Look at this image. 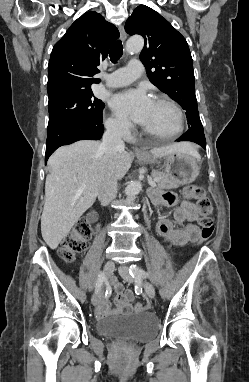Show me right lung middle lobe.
Listing matches in <instances>:
<instances>
[{"mask_svg":"<svg viewBox=\"0 0 249 382\" xmlns=\"http://www.w3.org/2000/svg\"><path fill=\"white\" fill-rule=\"evenodd\" d=\"M104 106L101 100L94 97L92 91L51 102L48 105V130L76 121H98L102 118Z\"/></svg>","mask_w":249,"mask_h":382,"instance_id":"right-lung-middle-lobe-1","label":"right lung middle lobe"}]
</instances>
